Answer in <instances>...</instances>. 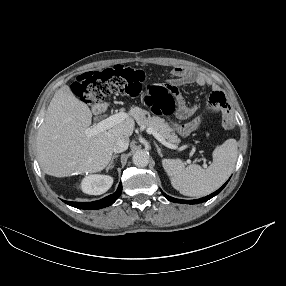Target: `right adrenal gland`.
Instances as JSON below:
<instances>
[{"label":"right adrenal gland","instance_id":"obj_1","mask_svg":"<svg viewBox=\"0 0 286 286\" xmlns=\"http://www.w3.org/2000/svg\"><path fill=\"white\" fill-rule=\"evenodd\" d=\"M117 157H118V154H114V155L112 156V159H111L109 165H108L107 168H106V171H107V172H108L109 169H112V168L114 167V159L117 158Z\"/></svg>","mask_w":286,"mask_h":286}]
</instances>
